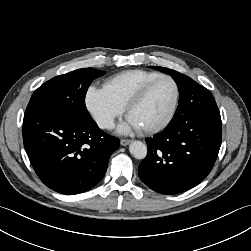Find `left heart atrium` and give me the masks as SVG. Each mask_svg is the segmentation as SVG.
I'll return each instance as SVG.
<instances>
[{"mask_svg": "<svg viewBox=\"0 0 251 251\" xmlns=\"http://www.w3.org/2000/svg\"><path fill=\"white\" fill-rule=\"evenodd\" d=\"M140 130V127L129 117L127 118L126 122L121 124L118 128V131L121 133H131L134 131Z\"/></svg>", "mask_w": 251, "mask_h": 251, "instance_id": "1", "label": "left heart atrium"}]
</instances>
